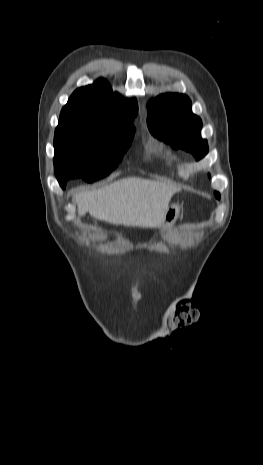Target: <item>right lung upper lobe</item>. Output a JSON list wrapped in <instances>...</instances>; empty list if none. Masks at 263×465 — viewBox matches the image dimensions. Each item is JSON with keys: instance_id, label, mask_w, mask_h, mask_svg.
Masks as SVG:
<instances>
[{"instance_id": "cb5924a9", "label": "right lung upper lobe", "mask_w": 263, "mask_h": 465, "mask_svg": "<svg viewBox=\"0 0 263 465\" xmlns=\"http://www.w3.org/2000/svg\"><path fill=\"white\" fill-rule=\"evenodd\" d=\"M138 107L135 99L125 102L110 85L99 79L94 84L77 89L63 107L61 114H76L108 121H133Z\"/></svg>"}]
</instances>
